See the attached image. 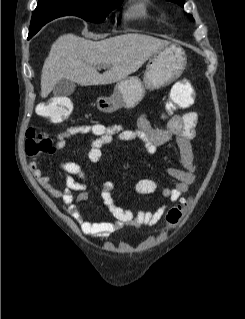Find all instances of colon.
<instances>
[{
	"label": "colon",
	"instance_id": "1",
	"mask_svg": "<svg viewBox=\"0 0 245 319\" xmlns=\"http://www.w3.org/2000/svg\"><path fill=\"white\" fill-rule=\"evenodd\" d=\"M184 93L171 92L169 107L171 111H177L188 107ZM38 111L40 114L52 123H61L65 121L72 111V102L67 97H54L40 104ZM26 153L28 157L33 158L41 153L49 152L52 148L50 139L35 128L30 127L26 132L25 142ZM191 206V199H184L180 204L172 207L166 215V223L173 227L179 223L185 211Z\"/></svg>",
	"mask_w": 245,
	"mask_h": 319
}]
</instances>
